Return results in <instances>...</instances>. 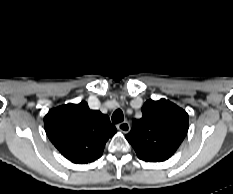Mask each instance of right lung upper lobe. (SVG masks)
I'll return each instance as SVG.
<instances>
[{
    "instance_id": "1",
    "label": "right lung upper lobe",
    "mask_w": 233,
    "mask_h": 194,
    "mask_svg": "<svg viewBox=\"0 0 233 194\" xmlns=\"http://www.w3.org/2000/svg\"><path fill=\"white\" fill-rule=\"evenodd\" d=\"M44 125L54 146L75 164L100 158L107 140L116 133L109 117L90 110L85 101L52 109L45 116Z\"/></svg>"
}]
</instances>
